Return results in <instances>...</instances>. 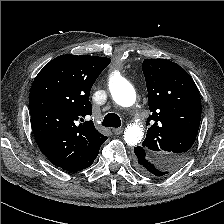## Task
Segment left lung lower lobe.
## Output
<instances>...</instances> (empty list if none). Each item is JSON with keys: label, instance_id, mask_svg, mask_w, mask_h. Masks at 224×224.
Wrapping results in <instances>:
<instances>
[{"label": "left lung lower lobe", "instance_id": "0a47b994", "mask_svg": "<svg viewBox=\"0 0 224 224\" xmlns=\"http://www.w3.org/2000/svg\"><path fill=\"white\" fill-rule=\"evenodd\" d=\"M135 167L143 175L148 177L160 176L162 173L156 166L147 158L145 151L140 147L134 148Z\"/></svg>", "mask_w": 224, "mask_h": 224}]
</instances>
